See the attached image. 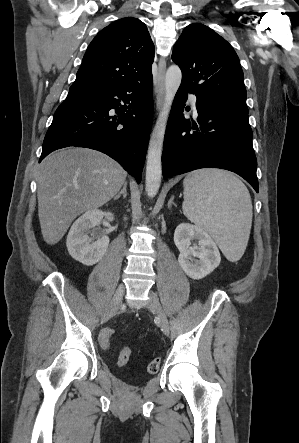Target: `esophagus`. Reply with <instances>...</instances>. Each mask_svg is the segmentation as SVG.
I'll return each mask as SVG.
<instances>
[{"label": "esophagus", "mask_w": 299, "mask_h": 443, "mask_svg": "<svg viewBox=\"0 0 299 443\" xmlns=\"http://www.w3.org/2000/svg\"><path fill=\"white\" fill-rule=\"evenodd\" d=\"M166 61L161 58L158 64V74L155 83V98L157 109H160L164 98V80H165Z\"/></svg>", "instance_id": "esophagus-1"}]
</instances>
